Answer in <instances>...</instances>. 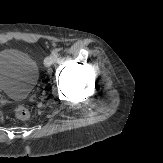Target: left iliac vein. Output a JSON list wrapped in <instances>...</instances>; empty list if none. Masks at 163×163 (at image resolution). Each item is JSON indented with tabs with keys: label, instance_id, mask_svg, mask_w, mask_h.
<instances>
[{
	"label": "left iliac vein",
	"instance_id": "4c4485c4",
	"mask_svg": "<svg viewBox=\"0 0 163 163\" xmlns=\"http://www.w3.org/2000/svg\"><path fill=\"white\" fill-rule=\"evenodd\" d=\"M54 60H55L54 55H49V56L46 57L45 60H44L45 66H46V67H50V66L53 64Z\"/></svg>",
	"mask_w": 163,
	"mask_h": 163
}]
</instances>
